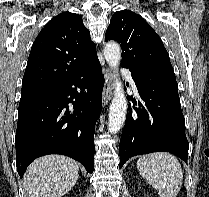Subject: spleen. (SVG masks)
Instances as JSON below:
<instances>
[{"label": "spleen", "mask_w": 209, "mask_h": 197, "mask_svg": "<svg viewBox=\"0 0 209 197\" xmlns=\"http://www.w3.org/2000/svg\"><path fill=\"white\" fill-rule=\"evenodd\" d=\"M141 176L154 187L159 197H176L183 184V170L178 159L166 152L142 156L136 163Z\"/></svg>", "instance_id": "spleen-1"}]
</instances>
